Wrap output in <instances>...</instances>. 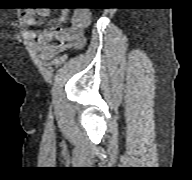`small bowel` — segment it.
I'll list each match as a JSON object with an SVG mask.
<instances>
[{"mask_svg":"<svg viewBox=\"0 0 192 180\" xmlns=\"http://www.w3.org/2000/svg\"><path fill=\"white\" fill-rule=\"evenodd\" d=\"M48 9H28L23 13L24 22L28 26L36 24L37 17L47 16ZM67 12L61 11L54 24L40 32L25 31L23 36L35 43L36 49L44 56H52L66 48H80L85 43V30L90 24V15L87 12L77 11L71 18L70 25L63 27Z\"/></svg>","mask_w":192,"mask_h":180,"instance_id":"c3829d8e","label":"small bowel"}]
</instances>
